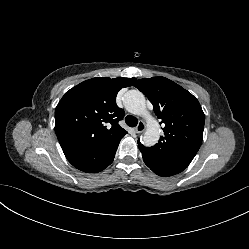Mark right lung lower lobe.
<instances>
[{
    "label": "right lung lower lobe",
    "instance_id": "98d812e1",
    "mask_svg": "<svg viewBox=\"0 0 249 249\" xmlns=\"http://www.w3.org/2000/svg\"><path fill=\"white\" fill-rule=\"evenodd\" d=\"M121 139L99 148L68 150L64 154L77 169L88 173L99 172L112 163Z\"/></svg>",
    "mask_w": 249,
    "mask_h": 249
}]
</instances>
